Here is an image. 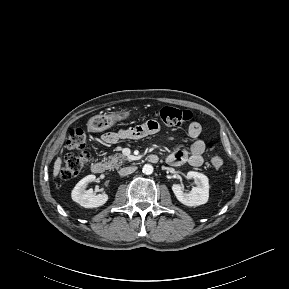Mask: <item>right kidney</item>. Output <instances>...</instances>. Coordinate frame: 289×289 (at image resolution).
I'll use <instances>...</instances> for the list:
<instances>
[{
    "instance_id": "right-kidney-1",
    "label": "right kidney",
    "mask_w": 289,
    "mask_h": 289,
    "mask_svg": "<svg viewBox=\"0 0 289 289\" xmlns=\"http://www.w3.org/2000/svg\"><path fill=\"white\" fill-rule=\"evenodd\" d=\"M95 179V175H88L81 179L72 190V200L79 203L84 208H96L104 205L108 200L107 194L95 195L92 189H85L87 184Z\"/></svg>"
}]
</instances>
